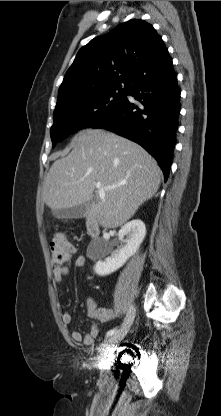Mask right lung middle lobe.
<instances>
[{
  "instance_id": "right-lung-middle-lobe-1",
  "label": "right lung middle lobe",
  "mask_w": 221,
  "mask_h": 416,
  "mask_svg": "<svg viewBox=\"0 0 221 416\" xmlns=\"http://www.w3.org/2000/svg\"><path fill=\"white\" fill-rule=\"evenodd\" d=\"M128 92L123 88L105 90L56 106L50 132L53 147L78 130L110 119Z\"/></svg>"
}]
</instances>
